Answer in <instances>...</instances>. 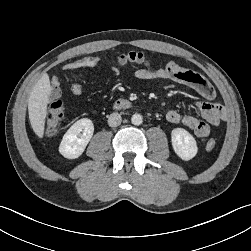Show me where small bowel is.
Returning <instances> with one entry per match:
<instances>
[{"label": "small bowel", "mask_w": 251, "mask_h": 251, "mask_svg": "<svg viewBox=\"0 0 251 251\" xmlns=\"http://www.w3.org/2000/svg\"><path fill=\"white\" fill-rule=\"evenodd\" d=\"M98 65L99 58L84 57L66 63L63 66V69L66 71H73L82 68H94ZM135 77L139 80H171L186 85L201 95L205 101L196 103V108L200 112L201 119L192 114L182 115L176 110H169L166 113V119L168 122L173 124L182 123L185 127L192 130L198 137L208 136L211 127L219 125L224 118L222 105L214 101L216 93L213 86L200 74L182 67L175 61H171L164 67L156 69H138L135 71ZM51 84V99L56 100L61 95L59 77L53 76ZM71 92L76 96H80L84 93V86L75 83L71 86Z\"/></svg>", "instance_id": "1"}]
</instances>
